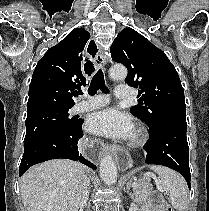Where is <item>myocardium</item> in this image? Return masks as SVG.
Masks as SVG:
<instances>
[{
  "instance_id": "f54148a6",
  "label": "myocardium",
  "mask_w": 209,
  "mask_h": 211,
  "mask_svg": "<svg viewBox=\"0 0 209 211\" xmlns=\"http://www.w3.org/2000/svg\"><path fill=\"white\" fill-rule=\"evenodd\" d=\"M147 141V132L144 127L139 126L135 130L132 139L130 141V146L139 147L146 143Z\"/></svg>"
}]
</instances>
